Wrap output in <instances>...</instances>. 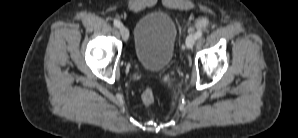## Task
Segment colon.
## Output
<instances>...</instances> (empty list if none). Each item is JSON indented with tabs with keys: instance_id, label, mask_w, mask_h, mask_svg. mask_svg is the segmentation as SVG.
<instances>
[{
	"instance_id": "colon-1",
	"label": "colon",
	"mask_w": 298,
	"mask_h": 138,
	"mask_svg": "<svg viewBox=\"0 0 298 138\" xmlns=\"http://www.w3.org/2000/svg\"><path fill=\"white\" fill-rule=\"evenodd\" d=\"M142 101L144 104L149 105L154 101V95L151 90H145L142 94Z\"/></svg>"
}]
</instances>
